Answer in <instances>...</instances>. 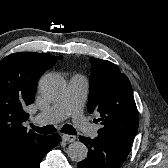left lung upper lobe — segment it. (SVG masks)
Segmentation results:
<instances>
[{
    "instance_id": "left-lung-upper-lobe-1",
    "label": "left lung upper lobe",
    "mask_w": 168,
    "mask_h": 168,
    "mask_svg": "<svg viewBox=\"0 0 168 168\" xmlns=\"http://www.w3.org/2000/svg\"><path fill=\"white\" fill-rule=\"evenodd\" d=\"M92 64L88 112L100 113L98 134L131 147L139 116L129 79L110 61L90 58Z\"/></svg>"
}]
</instances>
